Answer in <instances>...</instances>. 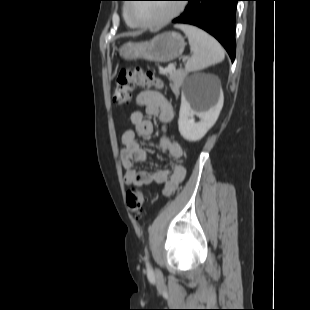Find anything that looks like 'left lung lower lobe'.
<instances>
[{
  "mask_svg": "<svg viewBox=\"0 0 310 310\" xmlns=\"http://www.w3.org/2000/svg\"><path fill=\"white\" fill-rule=\"evenodd\" d=\"M184 13L173 23L197 26L214 36L235 59V13L240 0H185Z\"/></svg>",
  "mask_w": 310,
  "mask_h": 310,
  "instance_id": "obj_1",
  "label": "left lung lower lobe"
}]
</instances>
